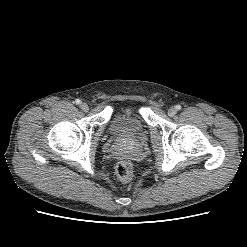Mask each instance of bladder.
I'll list each match as a JSON object with an SVG mask.
<instances>
[{
	"label": "bladder",
	"instance_id": "1",
	"mask_svg": "<svg viewBox=\"0 0 247 247\" xmlns=\"http://www.w3.org/2000/svg\"><path fill=\"white\" fill-rule=\"evenodd\" d=\"M110 130L123 138L136 139L145 133L146 126L137 113L119 110L111 118Z\"/></svg>",
	"mask_w": 247,
	"mask_h": 247
}]
</instances>
